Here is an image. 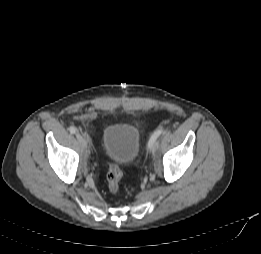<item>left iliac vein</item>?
I'll return each instance as SVG.
<instances>
[{
  "mask_svg": "<svg viewBox=\"0 0 261 254\" xmlns=\"http://www.w3.org/2000/svg\"><path fill=\"white\" fill-rule=\"evenodd\" d=\"M158 146H159V142L155 141L153 146L150 148V150L154 153L158 149Z\"/></svg>",
  "mask_w": 261,
  "mask_h": 254,
  "instance_id": "obj_1",
  "label": "left iliac vein"
}]
</instances>
